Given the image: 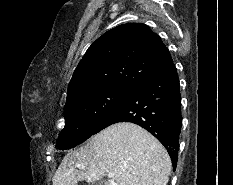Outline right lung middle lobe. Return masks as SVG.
<instances>
[{"mask_svg":"<svg viewBox=\"0 0 233 185\" xmlns=\"http://www.w3.org/2000/svg\"><path fill=\"white\" fill-rule=\"evenodd\" d=\"M130 89L104 88L82 94L65 104V127L57 147L70 149L95 134L100 123L128 95Z\"/></svg>","mask_w":233,"mask_h":185,"instance_id":"1","label":"right lung middle lobe"}]
</instances>
